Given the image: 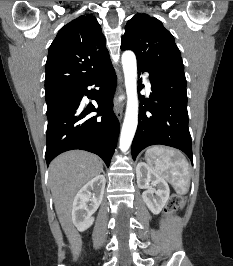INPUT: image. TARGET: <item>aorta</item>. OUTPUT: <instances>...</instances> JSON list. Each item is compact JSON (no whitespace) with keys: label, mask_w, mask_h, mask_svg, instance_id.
Listing matches in <instances>:
<instances>
[{"label":"aorta","mask_w":233,"mask_h":266,"mask_svg":"<svg viewBox=\"0 0 233 266\" xmlns=\"http://www.w3.org/2000/svg\"><path fill=\"white\" fill-rule=\"evenodd\" d=\"M122 65L127 93V106L120 135V149L126 152L131 146L138 124L137 61L132 51L122 54Z\"/></svg>","instance_id":"obj_1"}]
</instances>
